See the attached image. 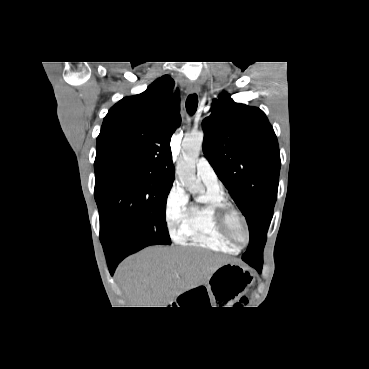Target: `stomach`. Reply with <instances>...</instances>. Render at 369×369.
<instances>
[{
  "label": "stomach",
  "instance_id": "stomach-1",
  "mask_svg": "<svg viewBox=\"0 0 369 369\" xmlns=\"http://www.w3.org/2000/svg\"><path fill=\"white\" fill-rule=\"evenodd\" d=\"M251 281L247 270L234 263H225L214 271L204 287L213 300L228 303L242 295Z\"/></svg>",
  "mask_w": 369,
  "mask_h": 369
}]
</instances>
